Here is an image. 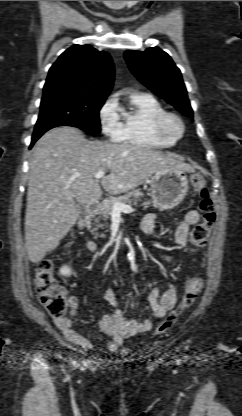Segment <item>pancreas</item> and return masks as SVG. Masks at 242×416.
Segmentation results:
<instances>
[{"mask_svg":"<svg viewBox=\"0 0 242 416\" xmlns=\"http://www.w3.org/2000/svg\"><path fill=\"white\" fill-rule=\"evenodd\" d=\"M144 194L139 189H134L131 192H128L124 194L123 196L119 197H110L107 200H105L101 205H99L97 211L94 213L95 222L97 223V228L101 227L102 225L99 224L100 219L107 220L113 213V204L115 202H121L123 204L127 205H137L138 202L141 201V197H143ZM150 205L149 201H145L142 203V206L144 209L148 208ZM95 228L94 230H96Z\"/></svg>","mask_w":242,"mask_h":416,"instance_id":"1","label":"pancreas"}]
</instances>
